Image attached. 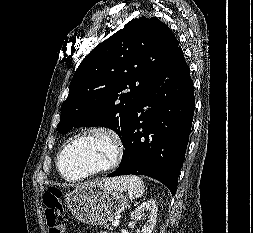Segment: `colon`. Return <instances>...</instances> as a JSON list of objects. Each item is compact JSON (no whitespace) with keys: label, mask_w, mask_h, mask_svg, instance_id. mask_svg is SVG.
<instances>
[{"label":"colon","mask_w":253,"mask_h":233,"mask_svg":"<svg viewBox=\"0 0 253 233\" xmlns=\"http://www.w3.org/2000/svg\"><path fill=\"white\" fill-rule=\"evenodd\" d=\"M44 213L49 233H64L66 217L61 203V192L57 188H49L43 194Z\"/></svg>","instance_id":"1"}]
</instances>
